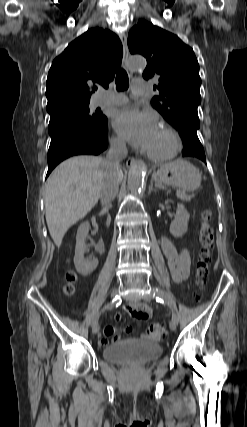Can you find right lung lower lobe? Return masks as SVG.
<instances>
[{"instance_id": "right-lung-lower-lobe-1", "label": "right lung lower lobe", "mask_w": 247, "mask_h": 427, "mask_svg": "<svg viewBox=\"0 0 247 427\" xmlns=\"http://www.w3.org/2000/svg\"><path fill=\"white\" fill-rule=\"evenodd\" d=\"M48 132L51 143L48 150V172L64 159L81 154L99 155L108 147V126L93 127L66 116L50 117Z\"/></svg>"}]
</instances>
